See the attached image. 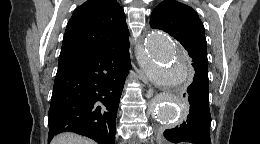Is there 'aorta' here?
Listing matches in <instances>:
<instances>
[{"label":"aorta","mask_w":260,"mask_h":144,"mask_svg":"<svg viewBox=\"0 0 260 144\" xmlns=\"http://www.w3.org/2000/svg\"><path fill=\"white\" fill-rule=\"evenodd\" d=\"M142 52L141 67L147 78L153 84L174 88L172 93L159 94L151 100L156 120L173 125L184 116L180 88L189 76V59L167 34L159 30L146 36Z\"/></svg>","instance_id":"aorta-1"}]
</instances>
